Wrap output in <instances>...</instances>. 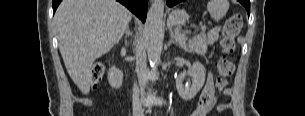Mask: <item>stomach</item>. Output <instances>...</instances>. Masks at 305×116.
<instances>
[{"label": "stomach", "mask_w": 305, "mask_h": 116, "mask_svg": "<svg viewBox=\"0 0 305 116\" xmlns=\"http://www.w3.org/2000/svg\"><path fill=\"white\" fill-rule=\"evenodd\" d=\"M189 19L187 13L183 10L176 9L169 15L168 22L174 26H181Z\"/></svg>", "instance_id": "obj_1"}]
</instances>
